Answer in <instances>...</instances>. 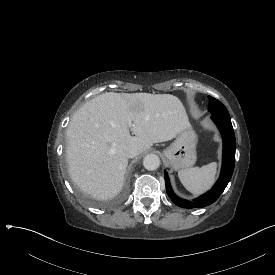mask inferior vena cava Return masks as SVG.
<instances>
[{"label":"inferior vena cava","mask_w":275,"mask_h":275,"mask_svg":"<svg viewBox=\"0 0 275 275\" xmlns=\"http://www.w3.org/2000/svg\"><path fill=\"white\" fill-rule=\"evenodd\" d=\"M124 153L127 158H134L139 154V150L136 145L130 144L124 148Z\"/></svg>","instance_id":"602c4592"}]
</instances>
